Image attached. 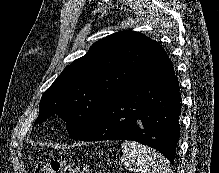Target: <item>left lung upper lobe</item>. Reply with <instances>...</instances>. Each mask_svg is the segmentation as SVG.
I'll use <instances>...</instances> for the list:
<instances>
[{"mask_svg": "<svg viewBox=\"0 0 219 173\" xmlns=\"http://www.w3.org/2000/svg\"><path fill=\"white\" fill-rule=\"evenodd\" d=\"M159 47L134 31L117 32L95 42L43 94L35 123L57 114L67 123L70 137L80 138L138 80L143 65Z\"/></svg>", "mask_w": 219, "mask_h": 173, "instance_id": "obj_1", "label": "left lung upper lobe"}]
</instances>
